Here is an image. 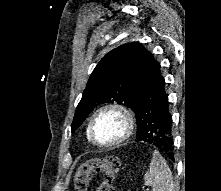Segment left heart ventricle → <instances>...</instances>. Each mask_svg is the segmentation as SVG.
<instances>
[{"mask_svg":"<svg viewBox=\"0 0 221 191\" xmlns=\"http://www.w3.org/2000/svg\"><path fill=\"white\" fill-rule=\"evenodd\" d=\"M124 129L122 118L115 113H105L99 116L94 124L93 134L100 143L117 139Z\"/></svg>","mask_w":221,"mask_h":191,"instance_id":"obj_1","label":"left heart ventricle"}]
</instances>
